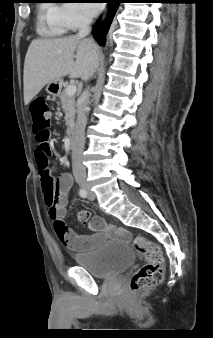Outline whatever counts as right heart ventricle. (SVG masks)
<instances>
[{"mask_svg":"<svg viewBox=\"0 0 213 338\" xmlns=\"http://www.w3.org/2000/svg\"><path fill=\"white\" fill-rule=\"evenodd\" d=\"M41 9L42 14L38 25L41 34L46 36H60L68 30L61 21L59 6L44 4Z\"/></svg>","mask_w":213,"mask_h":338,"instance_id":"e07e8e85","label":"right heart ventricle"}]
</instances>
